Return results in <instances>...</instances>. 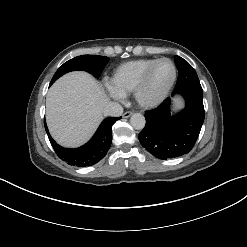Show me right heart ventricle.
Returning a JSON list of instances; mask_svg holds the SVG:
<instances>
[{
	"label": "right heart ventricle",
	"mask_w": 247,
	"mask_h": 247,
	"mask_svg": "<svg viewBox=\"0 0 247 247\" xmlns=\"http://www.w3.org/2000/svg\"><path fill=\"white\" fill-rule=\"evenodd\" d=\"M155 58H143L125 62L118 66L111 79L110 85L122 95L132 93L144 70Z\"/></svg>",
	"instance_id": "1"
}]
</instances>
